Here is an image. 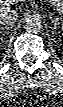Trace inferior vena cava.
I'll use <instances>...</instances> for the list:
<instances>
[{
    "label": "inferior vena cava",
    "instance_id": "602c4592",
    "mask_svg": "<svg viewBox=\"0 0 63 107\" xmlns=\"http://www.w3.org/2000/svg\"><path fill=\"white\" fill-rule=\"evenodd\" d=\"M18 18V13L15 10L4 8L0 11V24L13 25Z\"/></svg>",
    "mask_w": 63,
    "mask_h": 107
}]
</instances>
